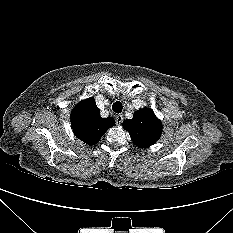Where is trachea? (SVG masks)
Masks as SVG:
<instances>
[{
  "instance_id": "1",
  "label": "trachea",
  "mask_w": 233,
  "mask_h": 233,
  "mask_svg": "<svg viewBox=\"0 0 233 233\" xmlns=\"http://www.w3.org/2000/svg\"><path fill=\"white\" fill-rule=\"evenodd\" d=\"M112 109L115 113H121L123 110V105L121 102L116 101L115 103H113Z\"/></svg>"
}]
</instances>
